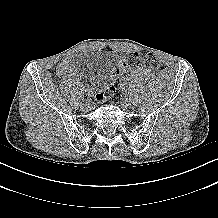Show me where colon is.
Returning a JSON list of instances; mask_svg holds the SVG:
<instances>
[{"mask_svg": "<svg viewBox=\"0 0 218 218\" xmlns=\"http://www.w3.org/2000/svg\"><path fill=\"white\" fill-rule=\"evenodd\" d=\"M140 65L146 66L148 69L152 71H157L161 67V62L160 60L152 53L141 55L139 53L133 52L129 53L125 56L124 61L121 65H119L115 70H114V76L119 77L128 68L131 67H137ZM115 92V88L112 85H106L102 87L100 90L97 91L96 93V100L99 103H104L106 102L109 98L112 97V95Z\"/></svg>", "mask_w": 218, "mask_h": 218, "instance_id": "1", "label": "colon"}]
</instances>
